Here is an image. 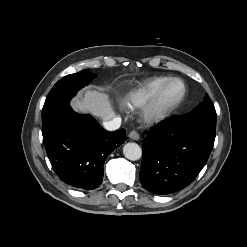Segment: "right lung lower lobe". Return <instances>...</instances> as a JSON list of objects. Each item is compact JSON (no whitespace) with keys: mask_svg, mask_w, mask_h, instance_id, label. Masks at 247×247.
I'll return each instance as SVG.
<instances>
[{"mask_svg":"<svg viewBox=\"0 0 247 247\" xmlns=\"http://www.w3.org/2000/svg\"><path fill=\"white\" fill-rule=\"evenodd\" d=\"M48 158L59 178L79 189H94L103 180L107 156L124 143L125 130L107 132L90 115L70 106L42 118Z\"/></svg>","mask_w":247,"mask_h":247,"instance_id":"98d812e1","label":"right lung lower lobe"}]
</instances>
